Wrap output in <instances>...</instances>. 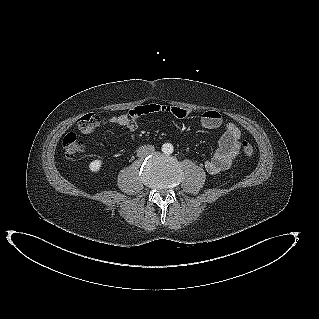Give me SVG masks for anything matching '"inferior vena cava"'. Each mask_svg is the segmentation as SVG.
I'll return each mask as SVG.
<instances>
[{"mask_svg":"<svg viewBox=\"0 0 319 319\" xmlns=\"http://www.w3.org/2000/svg\"><path fill=\"white\" fill-rule=\"evenodd\" d=\"M155 151L154 146L152 145H143L141 147L138 148V156L139 157H146L150 154H153Z\"/></svg>","mask_w":319,"mask_h":319,"instance_id":"inferior-vena-cava-1","label":"inferior vena cava"}]
</instances>
